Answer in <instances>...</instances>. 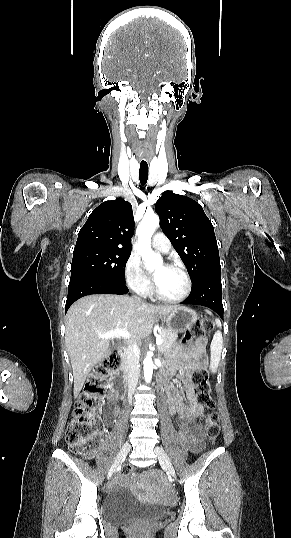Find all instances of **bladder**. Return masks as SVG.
<instances>
[{"label": "bladder", "instance_id": "1", "mask_svg": "<svg viewBox=\"0 0 291 538\" xmlns=\"http://www.w3.org/2000/svg\"><path fill=\"white\" fill-rule=\"evenodd\" d=\"M104 516L113 524H120L135 517H161L165 509L159 505L138 501L127 488L110 493L103 503Z\"/></svg>", "mask_w": 291, "mask_h": 538}]
</instances>
